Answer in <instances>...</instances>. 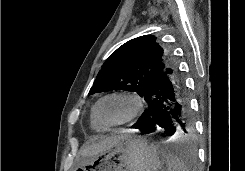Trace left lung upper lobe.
I'll return each mask as SVG.
<instances>
[{
    "label": "left lung upper lobe",
    "mask_w": 245,
    "mask_h": 171,
    "mask_svg": "<svg viewBox=\"0 0 245 171\" xmlns=\"http://www.w3.org/2000/svg\"><path fill=\"white\" fill-rule=\"evenodd\" d=\"M169 54L153 35L132 39L114 51L102 66L89 94L126 90L143 97L149 84L165 69Z\"/></svg>",
    "instance_id": "5c2ea615"
}]
</instances>
